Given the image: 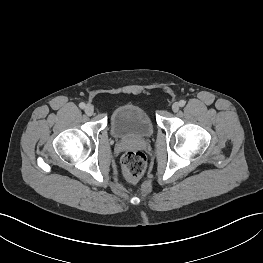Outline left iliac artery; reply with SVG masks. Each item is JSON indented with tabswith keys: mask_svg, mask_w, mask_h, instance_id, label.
Here are the masks:
<instances>
[{
	"mask_svg": "<svg viewBox=\"0 0 263 263\" xmlns=\"http://www.w3.org/2000/svg\"><path fill=\"white\" fill-rule=\"evenodd\" d=\"M185 104H186V101H185V100H181V101L179 102V105H180L181 107H183Z\"/></svg>",
	"mask_w": 263,
	"mask_h": 263,
	"instance_id": "44dca946",
	"label": "left iliac artery"
}]
</instances>
